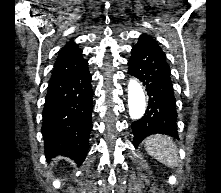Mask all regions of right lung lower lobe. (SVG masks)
I'll return each mask as SVG.
<instances>
[{
	"mask_svg": "<svg viewBox=\"0 0 221 193\" xmlns=\"http://www.w3.org/2000/svg\"><path fill=\"white\" fill-rule=\"evenodd\" d=\"M93 91L88 63L51 77L43 109L41 132L46 158L56 155L81 165L89 148Z\"/></svg>",
	"mask_w": 221,
	"mask_h": 193,
	"instance_id": "98d812e1",
	"label": "right lung lower lobe"
}]
</instances>
